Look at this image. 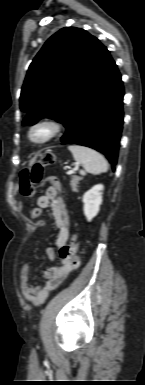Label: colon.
<instances>
[{"label":"colon","mask_w":145,"mask_h":385,"mask_svg":"<svg viewBox=\"0 0 145 385\" xmlns=\"http://www.w3.org/2000/svg\"><path fill=\"white\" fill-rule=\"evenodd\" d=\"M55 161V155L53 153H45L42 157L31 167L24 169L20 175V192L24 196H33L36 188L43 181L44 168L53 164ZM34 218L41 216V210L34 208L32 211ZM78 248V239L72 237L69 244H65L60 248V256L62 259L70 261L72 266L76 268L78 266V259L76 258V251Z\"/></svg>","instance_id":"5ec220e1"}]
</instances>
